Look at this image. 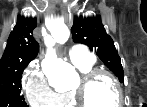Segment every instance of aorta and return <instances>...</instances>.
Listing matches in <instances>:
<instances>
[{
	"mask_svg": "<svg viewBox=\"0 0 147 107\" xmlns=\"http://www.w3.org/2000/svg\"><path fill=\"white\" fill-rule=\"evenodd\" d=\"M63 40L69 38L67 29L63 32ZM54 40L50 37L45 38L47 46L45 58L42 61V70L48 77L49 84L55 89L66 88L70 86L77 77L75 68L68 62L58 60L55 50L53 49Z\"/></svg>",
	"mask_w": 147,
	"mask_h": 107,
	"instance_id": "762f6f07",
	"label": "aorta"
}]
</instances>
